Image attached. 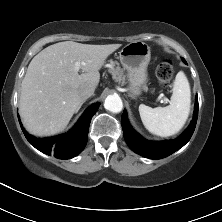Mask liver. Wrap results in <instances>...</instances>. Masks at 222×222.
I'll return each mask as SVG.
<instances>
[{
	"label": "liver",
	"instance_id": "obj_1",
	"mask_svg": "<svg viewBox=\"0 0 222 222\" xmlns=\"http://www.w3.org/2000/svg\"><path fill=\"white\" fill-rule=\"evenodd\" d=\"M120 46L65 41L39 52L21 84L19 112L26 130L36 136L63 131L84 101L80 87L98 85L99 70ZM77 63L82 74L78 73Z\"/></svg>",
	"mask_w": 222,
	"mask_h": 222
}]
</instances>
